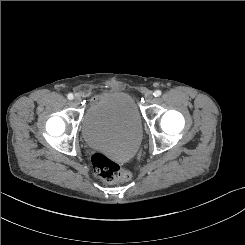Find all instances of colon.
<instances>
[{
	"mask_svg": "<svg viewBox=\"0 0 245 245\" xmlns=\"http://www.w3.org/2000/svg\"><path fill=\"white\" fill-rule=\"evenodd\" d=\"M95 174L104 182H124L131 178L128 171L122 170L120 166L101 153H95L91 158Z\"/></svg>",
	"mask_w": 245,
	"mask_h": 245,
	"instance_id": "obj_1",
	"label": "colon"
}]
</instances>
